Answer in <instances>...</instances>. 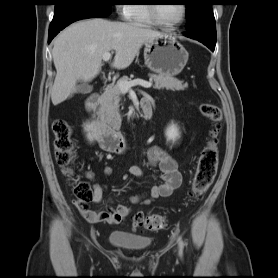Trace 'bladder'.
<instances>
[{"mask_svg": "<svg viewBox=\"0 0 278 278\" xmlns=\"http://www.w3.org/2000/svg\"><path fill=\"white\" fill-rule=\"evenodd\" d=\"M109 242L116 248L129 251H140L150 246L151 239L142 235H134L123 231H113L109 235Z\"/></svg>", "mask_w": 278, "mask_h": 278, "instance_id": "1", "label": "bladder"}]
</instances>
